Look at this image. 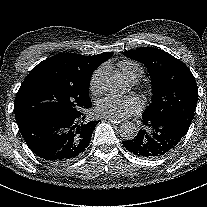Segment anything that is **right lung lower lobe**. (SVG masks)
<instances>
[{"mask_svg":"<svg viewBox=\"0 0 207 207\" xmlns=\"http://www.w3.org/2000/svg\"><path fill=\"white\" fill-rule=\"evenodd\" d=\"M85 116L51 117L18 125L27 146L42 160L65 164L81 156L88 147L99 121Z\"/></svg>","mask_w":207,"mask_h":207,"instance_id":"obj_1","label":"right lung lower lobe"}]
</instances>
